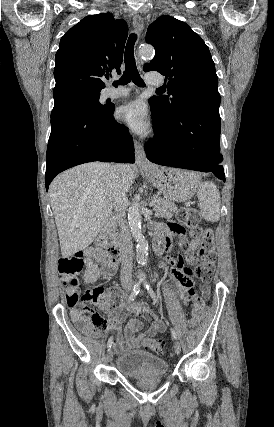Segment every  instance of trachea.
Wrapping results in <instances>:
<instances>
[{"label":"trachea","instance_id":"obj_1","mask_svg":"<svg viewBox=\"0 0 274 427\" xmlns=\"http://www.w3.org/2000/svg\"><path fill=\"white\" fill-rule=\"evenodd\" d=\"M136 39L137 36L134 33L129 36L128 44L125 50V70L122 77L116 82H113V85L115 87H117L118 85H127V83L131 81L135 83V85H137L138 87L145 86V83L139 75L133 56V46ZM157 90H161V88Z\"/></svg>","mask_w":274,"mask_h":427}]
</instances>
